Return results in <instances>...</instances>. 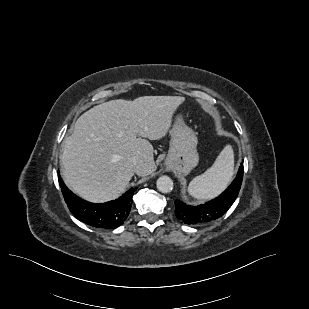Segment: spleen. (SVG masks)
<instances>
[{
    "label": "spleen",
    "instance_id": "obj_1",
    "mask_svg": "<svg viewBox=\"0 0 309 309\" xmlns=\"http://www.w3.org/2000/svg\"><path fill=\"white\" fill-rule=\"evenodd\" d=\"M234 173V152L230 145L220 152L213 165L196 176L188 186V193L199 200H208L220 194Z\"/></svg>",
    "mask_w": 309,
    "mask_h": 309
}]
</instances>
